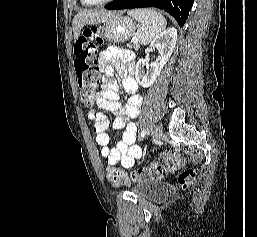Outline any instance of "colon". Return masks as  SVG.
Wrapping results in <instances>:
<instances>
[{"label": "colon", "instance_id": "obj_1", "mask_svg": "<svg viewBox=\"0 0 257 237\" xmlns=\"http://www.w3.org/2000/svg\"><path fill=\"white\" fill-rule=\"evenodd\" d=\"M101 43L96 37L95 30L87 28L74 44V67L78 82V87L82 99L87 104H92L95 90L99 83V65L96 59L97 47L94 43ZM165 164H154L149 167H142L127 175L121 169L108 166L106 168V178L113 186H123L130 181L158 180L163 178L167 171H173L180 167L182 158L176 153L164 156ZM193 169H185L179 173L178 183L184 189L188 188L195 179Z\"/></svg>", "mask_w": 257, "mask_h": 237}]
</instances>
